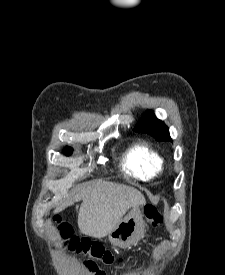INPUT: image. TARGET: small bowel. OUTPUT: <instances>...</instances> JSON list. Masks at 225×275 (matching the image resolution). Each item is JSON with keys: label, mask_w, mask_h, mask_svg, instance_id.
<instances>
[{"label": "small bowel", "mask_w": 225, "mask_h": 275, "mask_svg": "<svg viewBox=\"0 0 225 275\" xmlns=\"http://www.w3.org/2000/svg\"><path fill=\"white\" fill-rule=\"evenodd\" d=\"M100 272H101L100 275H105V273L103 271H100Z\"/></svg>", "instance_id": "c3829d8e"}]
</instances>
